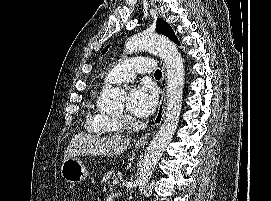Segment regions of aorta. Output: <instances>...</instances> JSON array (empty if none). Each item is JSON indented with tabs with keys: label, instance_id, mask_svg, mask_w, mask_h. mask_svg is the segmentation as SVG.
Returning a JSON list of instances; mask_svg holds the SVG:
<instances>
[{
	"label": "aorta",
	"instance_id": "762f6f07",
	"mask_svg": "<svg viewBox=\"0 0 271 201\" xmlns=\"http://www.w3.org/2000/svg\"><path fill=\"white\" fill-rule=\"evenodd\" d=\"M147 50L158 54L165 63L167 71V107L163 124L150 142L142 167L140 169L137 185L142 191L153 170L172 140L177 128L184 86V65L181 54L176 45L164 36L156 33L143 32L132 36L125 44L126 53ZM126 93L119 89H104L97 100L100 109H109L121 105Z\"/></svg>",
	"mask_w": 271,
	"mask_h": 201
}]
</instances>
